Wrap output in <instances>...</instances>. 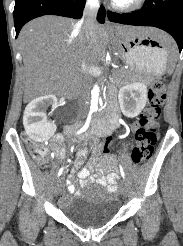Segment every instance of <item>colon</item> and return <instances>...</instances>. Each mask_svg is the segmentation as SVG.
I'll return each instance as SVG.
<instances>
[{"label": "colon", "instance_id": "5ec220e1", "mask_svg": "<svg viewBox=\"0 0 183 246\" xmlns=\"http://www.w3.org/2000/svg\"><path fill=\"white\" fill-rule=\"evenodd\" d=\"M165 99L164 83L161 80L153 81L148 91L147 107L139 117L134 135L135 145L132 150V160L136 164L143 163L152 155L154 146L159 139V128L163 115L162 107ZM117 134L121 135L122 131L118 130ZM110 137L115 138L116 134L111 133ZM110 137H108L104 149L101 150L104 157H115V152H111L112 139ZM26 144L29 153L35 160L42 163L46 160L48 151L44 145L29 140H26Z\"/></svg>", "mask_w": 183, "mask_h": 246}]
</instances>
